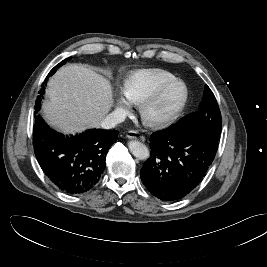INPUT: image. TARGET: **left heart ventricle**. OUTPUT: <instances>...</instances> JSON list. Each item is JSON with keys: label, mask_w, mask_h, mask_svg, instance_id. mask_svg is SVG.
<instances>
[{"label": "left heart ventricle", "mask_w": 267, "mask_h": 267, "mask_svg": "<svg viewBox=\"0 0 267 267\" xmlns=\"http://www.w3.org/2000/svg\"><path fill=\"white\" fill-rule=\"evenodd\" d=\"M182 93V90L176 89L174 90L172 93H170L167 98L164 100V102L159 106L158 110H163L167 107H169L170 105L174 104L175 102H177V100L180 98Z\"/></svg>", "instance_id": "b2bd125f"}]
</instances>
